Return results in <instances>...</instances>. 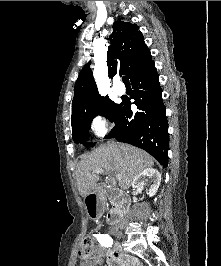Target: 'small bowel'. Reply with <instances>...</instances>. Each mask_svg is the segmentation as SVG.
<instances>
[{"instance_id":"1","label":"small bowel","mask_w":221,"mask_h":266,"mask_svg":"<svg viewBox=\"0 0 221 266\" xmlns=\"http://www.w3.org/2000/svg\"><path fill=\"white\" fill-rule=\"evenodd\" d=\"M100 233L94 232L93 236L96 237ZM96 258L92 261H82L81 266H100L103 259L106 257L109 266H142L137 260L124 257L116 250H106L102 245L96 246Z\"/></svg>"}]
</instances>
